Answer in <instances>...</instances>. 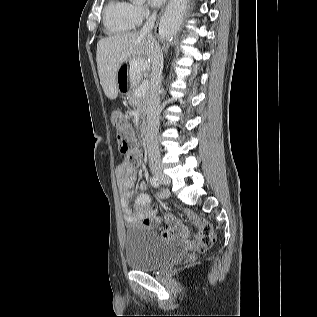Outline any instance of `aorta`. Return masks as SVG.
<instances>
[{"label": "aorta", "mask_w": 317, "mask_h": 317, "mask_svg": "<svg viewBox=\"0 0 317 317\" xmlns=\"http://www.w3.org/2000/svg\"><path fill=\"white\" fill-rule=\"evenodd\" d=\"M133 2H136V3H142L144 2L145 0H132ZM179 26V19L177 16H175L171 11H168L162 21H161V25H160V31L163 33V34H172L174 33V31H176V29L178 28Z\"/></svg>", "instance_id": "aorta-1"}]
</instances>
